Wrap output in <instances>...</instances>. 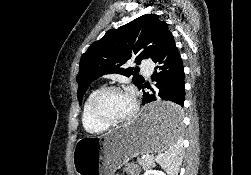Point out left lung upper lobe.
<instances>
[{"mask_svg":"<svg viewBox=\"0 0 251 175\" xmlns=\"http://www.w3.org/2000/svg\"><path fill=\"white\" fill-rule=\"evenodd\" d=\"M169 33L168 24L156 14L143 15L118 29L107 31L82 55L77 75L79 102L92 81L104 74L133 75L132 81L140 89L144 78L138 74L139 68H124L123 64L135 60L139 65L142 59H152Z\"/></svg>","mask_w":251,"mask_h":175,"instance_id":"left-lung-upper-lobe-1","label":"left lung upper lobe"}]
</instances>
